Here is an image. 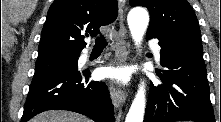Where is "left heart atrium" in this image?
Returning a JSON list of instances; mask_svg holds the SVG:
<instances>
[{"label":"left heart atrium","instance_id":"39dd6f15","mask_svg":"<svg viewBox=\"0 0 221 122\" xmlns=\"http://www.w3.org/2000/svg\"><path fill=\"white\" fill-rule=\"evenodd\" d=\"M103 74L106 77H110V78L117 79L120 81H124L128 77V74L125 70L118 69V68H106L103 70Z\"/></svg>","mask_w":221,"mask_h":122}]
</instances>
